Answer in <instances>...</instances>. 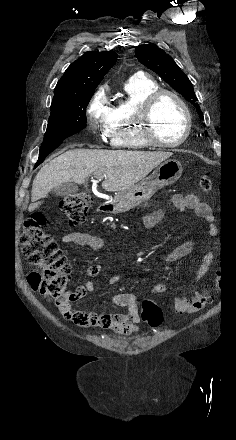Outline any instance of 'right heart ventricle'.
<instances>
[{"instance_id":"1","label":"right heart ventricle","mask_w":236,"mask_h":440,"mask_svg":"<svg viewBox=\"0 0 236 440\" xmlns=\"http://www.w3.org/2000/svg\"><path fill=\"white\" fill-rule=\"evenodd\" d=\"M157 88V82L143 74H135L127 79L124 85L127 98L111 108L108 137L112 146L128 149L150 146L141 134L137 115L144 99Z\"/></svg>"}]
</instances>
